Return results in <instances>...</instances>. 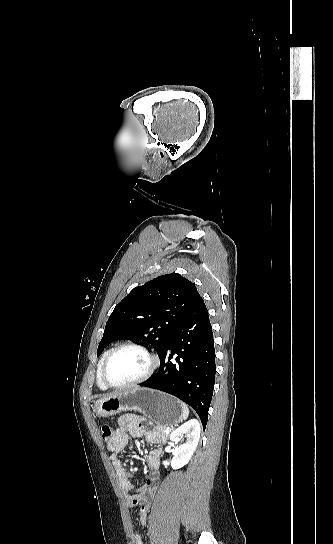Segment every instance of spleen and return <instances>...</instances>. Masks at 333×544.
Listing matches in <instances>:
<instances>
[{
	"label": "spleen",
	"instance_id": "spleen-1",
	"mask_svg": "<svg viewBox=\"0 0 333 544\" xmlns=\"http://www.w3.org/2000/svg\"><path fill=\"white\" fill-rule=\"evenodd\" d=\"M181 407H182V415H181V417H182L183 420H186V419L188 418V416H189V408H188V406H187L185 403H183V402H181Z\"/></svg>",
	"mask_w": 333,
	"mask_h": 544
}]
</instances>
